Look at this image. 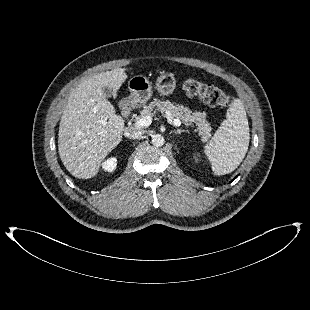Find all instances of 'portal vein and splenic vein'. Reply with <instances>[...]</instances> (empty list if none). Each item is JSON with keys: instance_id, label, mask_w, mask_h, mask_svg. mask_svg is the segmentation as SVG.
I'll use <instances>...</instances> for the list:
<instances>
[{"instance_id": "18ae733b", "label": "portal vein and splenic vein", "mask_w": 310, "mask_h": 310, "mask_svg": "<svg viewBox=\"0 0 310 310\" xmlns=\"http://www.w3.org/2000/svg\"><path fill=\"white\" fill-rule=\"evenodd\" d=\"M170 123H172L174 126H180L181 121L179 119H173L169 120ZM152 123V117L151 116H143L141 118H138L135 121V125L137 127H147Z\"/></svg>"}]
</instances>
